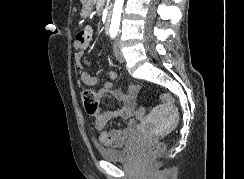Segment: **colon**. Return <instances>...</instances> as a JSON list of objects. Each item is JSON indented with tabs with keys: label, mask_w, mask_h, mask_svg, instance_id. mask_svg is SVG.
<instances>
[{
	"label": "colon",
	"mask_w": 244,
	"mask_h": 179,
	"mask_svg": "<svg viewBox=\"0 0 244 179\" xmlns=\"http://www.w3.org/2000/svg\"><path fill=\"white\" fill-rule=\"evenodd\" d=\"M159 97L165 103H171L175 101V96H170L169 93H160ZM81 100L84 105L85 111L89 115H95L99 111V104L95 92L90 88H84L81 91ZM146 112L145 104H138L137 111H132V116H137L140 123L144 122V119H148V114H143ZM165 142H156V147H150L149 150H145L143 153V158H154L158 152H164Z\"/></svg>",
	"instance_id": "5ec220e1"
}]
</instances>
